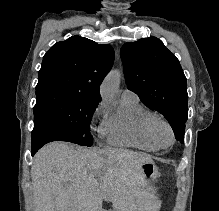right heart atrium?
Listing matches in <instances>:
<instances>
[{
  "label": "right heart atrium",
  "instance_id": "right-heart-atrium-1",
  "mask_svg": "<svg viewBox=\"0 0 219 211\" xmlns=\"http://www.w3.org/2000/svg\"><path fill=\"white\" fill-rule=\"evenodd\" d=\"M107 113V104L105 102H101L93 111L92 119H96L99 116L106 115ZM106 128V118H104L99 126V133L104 134Z\"/></svg>",
  "mask_w": 219,
  "mask_h": 211
}]
</instances>
